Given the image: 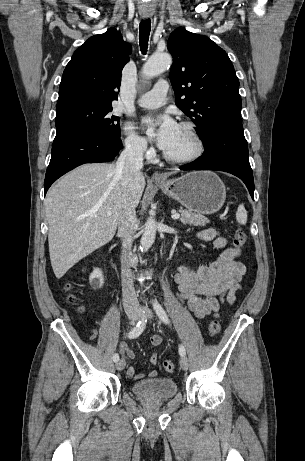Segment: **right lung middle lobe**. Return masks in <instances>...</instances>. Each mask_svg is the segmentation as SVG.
<instances>
[{"label":"right lung middle lobe","mask_w":305,"mask_h":461,"mask_svg":"<svg viewBox=\"0 0 305 461\" xmlns=\"http://www.w3.org/2000/svg\"><path fill=\"white\" fill-rule=\"evenodd\" d=\"M56 134L86 132L110 138H120V118L112 115V105L99 102H79L56 107Z\"/></svg>","instance_id":"obj_1"}]
</instances>
